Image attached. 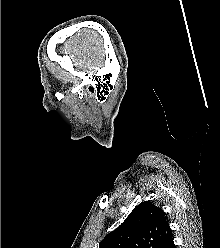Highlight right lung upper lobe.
<instances>
[{
	"instance_id": "obj_1",
	"label": "right lung upper lobe",
	"mask_w": 220,
	"mask_h": 248,
	"mask_svg": "<svg viewBox=\"0 0 220 248\" xmlns=\"http://www.w3.org/2000/svg\"><path fill=\"white\" fill-rule=\"evenodd\" d=\"M171 237L172 230L165 213L150 201H145L104 237L99 248H162Z\"/></svg>"
}]
</instances>
